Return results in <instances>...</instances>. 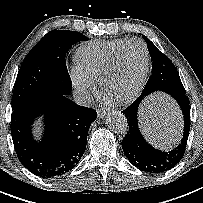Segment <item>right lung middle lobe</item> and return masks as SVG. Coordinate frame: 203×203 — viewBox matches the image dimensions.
Listing matches in <instances>:
<instances>
[{"instance_id":"right-lung-middle-lobe-1","label":"right lung middle lobe","mask_w":203,"mask_h":203,"mask_svg":"<svg viewBox=\"0 0 203 203\" xmlns=\"http://www.w3.org/2000/svg\"><path fill=\"white\" fill-rule=\"evenodd\" d=\"M88 38L76 31L52 30L27 54L17 75L12 110L50 94L69 95L72 82L65 56L73 44Z\"/></svg>"}]
</instances>
